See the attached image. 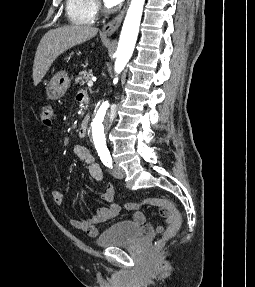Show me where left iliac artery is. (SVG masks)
<instances>
[{
  "label": "left iliac artery",
  "mask_w": 255,
  "mask_h": 287,
  "mask_svg": "<svg viewBox=\"0 0 255 287\" xmlns=\"http://www.w3.org/2000/svg\"><path fill=\"white\" fill-rule=\"evenodd\" d=\"M102 163L109 168H112V158L107 147L96 148Z\"/></svg>",
  "instance_id": "left-iliac-artery-1"
}]
</instances>
